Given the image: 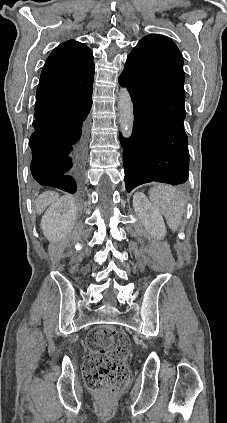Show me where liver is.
I'll return each mask as SVG.
<instances>
[{"instance_id": "liver-1", "label": "liver", "mask_w": 227, "mask_h": 423, "mask_svg": "<svg viewBox=\"0 0 227 423\" xmlns=\"http://www.w3.org/2000/svg\"><path fill=\"white\" fill-rule=\"evenodd\" d=\"M58 198L59 194L57 192H44V194H40L36 200V211L38 215L46 210L47 206L54 204Z\"/></svg>"}]
</instances>
